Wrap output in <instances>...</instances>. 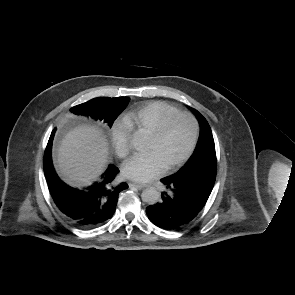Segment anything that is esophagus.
<instances>
[{
  "label": "esophagus",
  "mask_w": 295,
  "mask_h": 295,
  "mask_svg": "<svg viewBox=\"0 0 295 295\" xmlns=\"http://www.w3.org/2000/svg\"><path fill=\"white\" fill-rule=\"evenodd\" d=\"M129 186L130 187H135L137 189H143L145 186L143 184H140V183H136V182H131L129 183Z\"/></svg>",
  "instance_id": "esophagus-1"
}]
</instances>
